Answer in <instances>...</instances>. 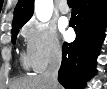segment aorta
<instances>
[{
	"mask_svg": "<svg viewBox=\"0 0 107 89\" xmlns=\"http://www.w3.org/2000/svg\"><path fill=\"white\" fill-rule=\"evenodd\" d=\"M35 15L41 22H48L53 13V0H35Z\"/></svg>",
	"mask_w": 107,
	"mask_h": 89,
	"instance_id": "1",
	"label": "aorta"
}]
</instances>
